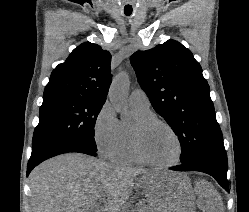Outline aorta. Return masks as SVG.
I'll use <instances>...</instances> for the list:
<instances>
[{
	"instance_id": "1",
	"label": "aorta",
	"mask_w": 249,
	"mask_h": 212,
	"mask_svg": "<svg viewBox=\"0 0 249 212\" xmlns=\"http://www.w3.org/2000/svg\"><path fill=\"white\" fill-rule=\"evenodd\" d=\"M130 80L127 72L118 73L112 80L109 89V99L116 111L122 116L127 115V97Z\"/></svg>"
}]
</instances>
